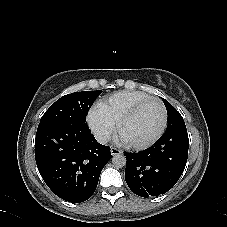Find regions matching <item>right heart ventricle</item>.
<instances>
[{
	"mask_svg": "<svg viewBox=\"0 0 227 227\" xmlns=\"http://www.w3.org/2000/svg\"><path fill=\"white\" fill-rule=\"evenodd\" d=\"M148 97L141 91H119L100 101L97 106L103 115L117 124L134 105Z\"/></svg>",
	"mask_w": 227,
	"mask_h": 227,
	"instance_id": "1",
	"label": "right heart ventricle"
}]
</instances>
